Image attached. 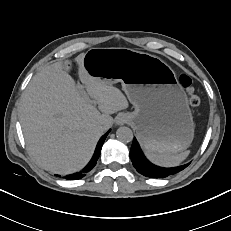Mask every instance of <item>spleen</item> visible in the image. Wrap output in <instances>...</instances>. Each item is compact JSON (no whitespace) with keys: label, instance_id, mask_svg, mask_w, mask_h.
<instances>
[{"label":"spleen","instance_id":"obj_1","mask_svg":"<svg viewBox=\"0 0 231 231\" xmlns=\"http://www.w3.org/2000/svg\"><path fill=\"white\" fill-rule=\"evenodd\" d=\"M190 151H184L175 155L168 154H156L152 152H146L147 158L154 164L162 166V167H175L180 165L182 161H184Z\"/></svg>","mask_w":231,"mask_h":231}]
</instances>
